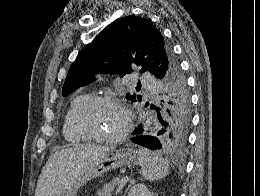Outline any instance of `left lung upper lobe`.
I'll use <instances>...</instances> for the list:
<instances>
[{
  "mask_svg": "<svg viewBox=\"0 0 260 196\" xmlns=\"http://www.w3.org/2000/svg\"><path fill=\"white\" fill-rule=\"evenodd\" d=\"M108 61L110 68L103 69ZM139 66L162 79L161 99L151 105L143 134L154 136L159 149L182 151L187 143L191 122L190 98L186 82L170 46L150 20L135 15L119 18L108 25L77 57L67 74L62 92L68 95L79 86L94 81L95 73L124 76ZM135 102L141 97L127 94ZM147 107V106H146Z\"/></svg>",
  "mask_w": 260,
  "mask_h": 196,
  "instance_id": "obj_1",
  "label": "left lung upper lobe"
}]
</instances>
